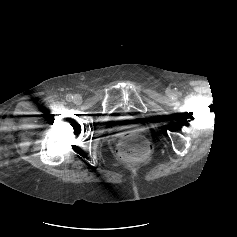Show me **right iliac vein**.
I'll list each match as a JSON object with an SVG mask.
<instances>
[{"instance_id": "right-iliac-vein-1", "label": "right iliac vein", "mask_w": 237, "mask_h": 237, "mask_svg": "<svg viewBox=\"0 0 237 237\" xmlns=\"http://www.w3.org/2000/svg\"><path fill=\"white\" fill-rule=\"evenodd\" d=\"M73 101H74L75 104L79 105V104L82 103V98L79 95H75Z\"/></svg>"}]
</instances>
